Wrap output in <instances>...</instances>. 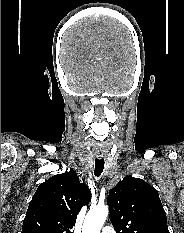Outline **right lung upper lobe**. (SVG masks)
I'll return each instance as SVG.
<instances>
[{"label":"right lung upper lobe","instance_id":"cb5924a9","mask_svg":"<svg viewBox=\"0 0 184 233\" xmlns=\"http://www.w3.org/2000/svg\"><path fill=\"white\" fill-rule=\"evenodd\" d=\"M90 199L89 188L74 171L54 175L37 188L22 233H72L79 211Z\"/></svg>","mask_w":184,"mask_h":233}]
</instances>
